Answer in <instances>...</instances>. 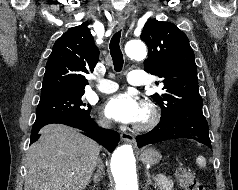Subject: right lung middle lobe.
<instances>
[{"label":"right lung middle lobe","instance_id":"dd1d6c3e","mask_svg":"<svg viewBox=\"0 0 238 190\" xmlns=\"http://www.w3.org/2000/svg\"><path fill=\"white\" fill-rule=\"evenodd\" d=\"M83 94L84 92L68 93L40 98L36 121L90 115L91 107L82 101Z\"/></svg>","mask_w":238,"mask_h":190}]
</instances>
